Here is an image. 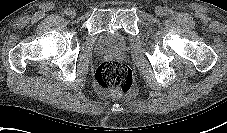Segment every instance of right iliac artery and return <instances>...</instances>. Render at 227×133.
<instances>
[{"mask_svg":"<svg viewBox=\"0 0 227 133\" xmlns=\"http://www.w3.org/2000/svg\"><path fill=\"white\" fill-rule=\"evenodd\" d=\"M69 12H70V8H66V9L64 10V14H66V15H68Z\"/></svg>","mask_w":227,"mask_h":133,"instance_id":"1","label":"right iliac artery"}]
</instances>
